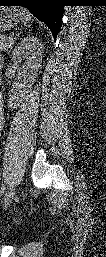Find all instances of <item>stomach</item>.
<instances>
[{
  "label": "stomach",
  "mask_w": 106,
  "mask_h": 257,
  "mask_svg": "<svg viewBox=\"0 0 106 257\" xmlns=\"http://www.w3.org/2000/svg\"><path fill=\"white\" fill-rule=\"evenodd\" d=\"M23 12V9L16 7H2L0 12V30L8 31L16 26L20 22Z\"/></svg>",
  "instance_id": "0dacf381"
}]
</instances>
